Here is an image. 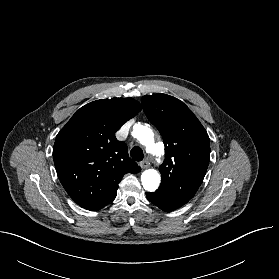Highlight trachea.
Returning a JSON list of instances; mask_svg holds the SVG:
<instances>
[{
    "label": "trachea",
    "instance_id": "1",
    "mask_svg": "<svg viewBox=\"0 0 279 279\" xmlns=\"http://www.w3.org/2000/svg\"><path fill=\"white\" fill-rule=\"evenodd\" d=\"M130 154H131L132 159L135 161H141L144 157L142 149L137 146H135L131 149Z\"/></svg>",
    "mask_w": 279,
    "mask_h": 279
}]
</instances>
